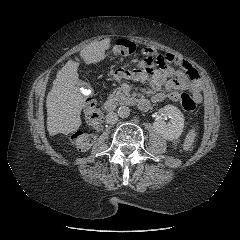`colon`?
Listing matches in <instances>:
<instances>
[{"label": "colon", "mask_w": 240, "mask_h": 240, "mask_svg": "<svg viewBox=\"0 0 240 240\" xmlns=\"http://www.w3.org/2000/svg\"><path fill=\"white\" fill-rule=\"evenodd\" d=\"M136 44L129 39H119L112 46L111 52L117 56H128L135 52ZM179 102L184 111L192 113L196 109V101L186 93L179 95ZM85 116L89 124L94 129H98L102 121L101 108L95 102H89L85 109ZM70 139L76 148L80 151L88 150L94 140V135L84 131H75Z\"/></svg>", "instance_id": "1"}]
</instances>
